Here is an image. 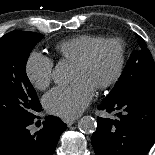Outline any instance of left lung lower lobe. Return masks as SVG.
Returning a JSON list of instances; mask_svg holds the SVG:
<instances>
[{"instance_id":"1","label":"left lung lower lobe","mask_w":155,"mask_h":155,"mask_svg":"<svg viewBox=\"0 0 155 155\" xmlns=\"http://www.w3.org/2000/svg\"><path fill=\"white\" fill-rule=\"evenodd\" d=\"M101 110L123 111L118 120L99 118L92 136L96 155H146L155 142V83L106 98Z\"/></svg>"}]
</instances>
